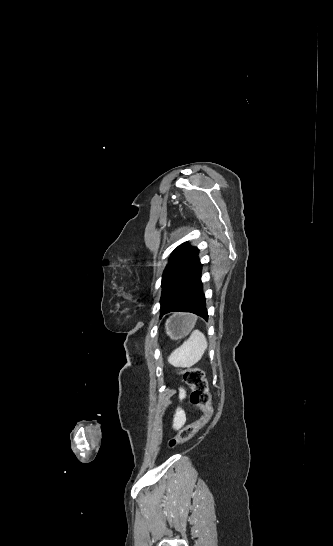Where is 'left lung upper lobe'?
I'll list each match as a JSON object with an SVG mask.
<instances>
[{
  "label": "left lung upper lobe",
  "instance_id": "1",
  "mask_svg": "<svg viewBox=\"0 0 333 546\" xmlns=\"http://www.w3.org/2000/svg\"><path fill=\"white\" fill-rule=\"evenodd\" d=\"M198 253V248L190 247L187 243L178 246L174 250L162 275L161 307L165 301L166 292L172 281L185 267L198 257Z\"/></svg>",
  "mask_w": 333,
  "mask_h": 546
}]
</instances>
